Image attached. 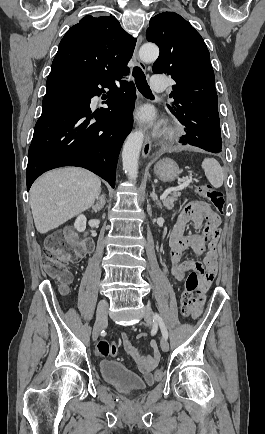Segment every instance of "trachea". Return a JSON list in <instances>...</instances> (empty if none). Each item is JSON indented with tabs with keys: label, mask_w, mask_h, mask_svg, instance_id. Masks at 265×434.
Returning <instances> with one entry per match:
<instances>
[{
	"label": "trachea",
	"mask_w": 265,
	"mask_h": 434,
	"mask_svg": "<svg viewBox=\"0 0 265 434\" xmlns=\"http://www.w3.org/2000/svg\"><path fill=\"white\" fill-rule=\"evenodd\" d=\"M132 76H134L135 78V83L137 85L139 92H141L143 95L151 96L150 87L140 67H134Z\"/></svg>",
	"instance_id": "3493384b"
}]
</instances>
